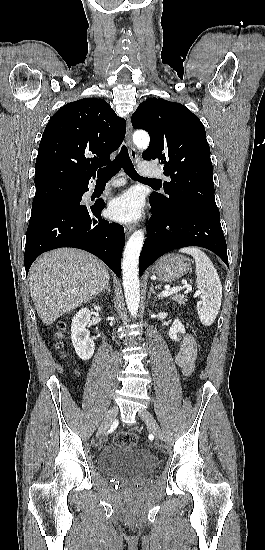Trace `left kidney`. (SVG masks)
<instances>
[{
  "instance_id": "5707ae66",
  "label": "left kidney",
  "mask_w": 265,
  "mask_h": 550,
  "mask_svg": "<svg viewBox=\"0 0 265 550\" xmlns=\"http://www.w3.org/2000/svg\"><path fill=\"white\" fill-rule=\"evenodd\" d=\"M185 333V328L179 319L173 322L172 327L169 330V337L173 341H179V338Z\"/></svg>"
}]
</instances>
